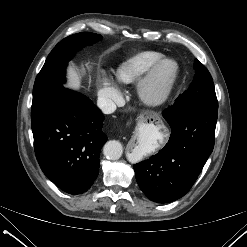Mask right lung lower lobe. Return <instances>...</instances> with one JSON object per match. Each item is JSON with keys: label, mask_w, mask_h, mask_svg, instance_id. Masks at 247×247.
I'll return each mask as SVG.
<instances>
[{"label": "right lung lower lobe", "mask_w": 247, "mask_h": 247, "mask_svg": "<svg viewBox=\"0 0 247 247\" xmlns=\"http://www.w3.org/2000/svg\"><path fill=\"white\" fill-rule=\"evenodd\" d=\"M104 116L82 94L64 89L32 122L34 149L44 174L69 194L87 191L99 174L100 149L107 136Z\"/></svg>", "instance_id": "obj_1"}]
</instances>
